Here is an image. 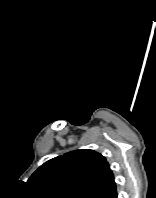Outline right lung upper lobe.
<instances>
[{
    "label": "right lung upper lobe",
    "instance_id": "cb5924a9",
    "mask_svg": "<svg viewBox=\"0 0 156 198\" xmlns=\"http://www.w3.org/2000/svg\"><path fill=\"white\" fill-rule=\"evenodd\" d=\"M28 182L47 198H117L109 164L93 150L55 157L36 170Z\"/></svg>",
    "mask_w": 156,
    "mask_h": 198
}]
</instances>
